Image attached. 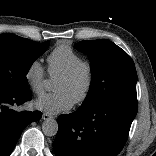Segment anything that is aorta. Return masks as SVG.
I'll list each match as a JSON object with an SVG mask.
<instances>
[{"label": "aorta", "instance_id": "obj_1", "mask_svg": "<svg viewBox=\"0 0 156 156\" xmlns=\"http://www.w3.org/2000/svg\"><path fill=\"white\" fill-rule=\"evenodd\" d=\"M42 131L46 136H55L58 132L57 121L52 118H47L42 124Z\"/></svg>", "mask_w": 156, "mask_h": 156}]
</instances>
